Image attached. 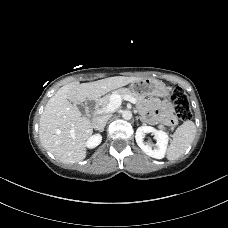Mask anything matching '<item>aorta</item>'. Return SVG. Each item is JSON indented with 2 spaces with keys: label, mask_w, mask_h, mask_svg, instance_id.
Listing matches in <instances>:
<instances>
[{
  "label": "aorta",
  "mask_w": 228,
  "mask_h": 228,
  "mask_svg": "<svg viewBox=\"0 0 228 228\" xmlns=\"http://www.w3.org/2000/svg\"><path fill=\"white\" fill-rule=\"evenodd\" d=\"M122 117H123V119H125V120H130V119L132 118V112L129 111V110H124V111L122 112Z\"/></svg>",
  "instance_id": "aorta-1"
}]
</instances>
